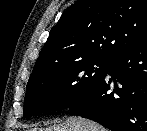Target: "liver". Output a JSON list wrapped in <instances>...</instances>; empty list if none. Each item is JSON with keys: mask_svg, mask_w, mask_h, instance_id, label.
<instances>
[{"mask_svg": "<svg viewBox=\"0 0 147 131\" xmlns=\"http://www.w3.org/2000/svg\"><path fill=\"white\" fill-rule=\"evenodd\" d=\"M30 131H106V129L91 120L72 116L61 124L46 129L32 128Z\"/></svg>", "mask_w": 147, "mask_h": 131, "instance_id": "6515ba94", "label": "liver"}]
</instances>
